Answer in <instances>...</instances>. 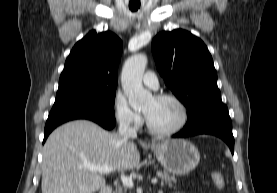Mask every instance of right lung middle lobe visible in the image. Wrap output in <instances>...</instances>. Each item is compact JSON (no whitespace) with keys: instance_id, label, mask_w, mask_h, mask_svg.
Instances as JSON below:
<instances>
[{"instance_id":"1","label":"right lung middle lobe","mask_w":277,"mask_h":193,"mask_svg":"<svg viewBox=\"0 0 277 193\" xmlns=\"http://www.w3.org/2000/svg\"><path fill=\"white\" fill-rule=\"evenodd\" d=\"M116 87L83 86L58 91L54 106H76L89 108L115 118L114 101Z\"/></svg>"}]
</instances>
